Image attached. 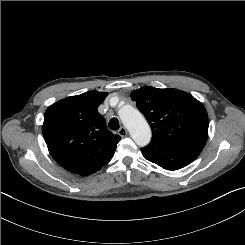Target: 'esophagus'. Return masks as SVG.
I'll return each mask as SVG.
<instances>
[{
	"label": "esophagus",
	"mask_w": 245,
	"mask_h": 245,
	"mask_svg": "<svg viewBox=\"0 0 245 245\" xmlns=\"http://www.w3.org/2000/svg\"><path fill=\"white\" fill-rule=\"evenodd\" d=\"M118 134L121 136V137H126L128 135V131L127 129L122 126L119 130H118Z\"/></svg>",
	"instance_id": "34e87169"
}]
</instances>
